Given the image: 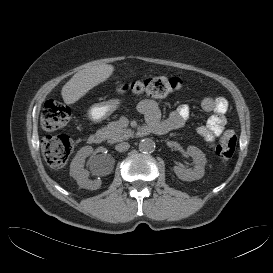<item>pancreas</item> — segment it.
<instances>
[{"label":"pancreas","instance_id":"pancreas-1","mask_svg":"<svg viewBox=\"0 0 273 273\" xmlns=\"http://www.w3.org/2000/svg\"><path fill=\"white\" fill-rule=\"evenodd\" d=\"M102 132L109 143L122 141L132 134L130 129H126L118 121L110 122L106 127L102 128Z\"/></svg>","mask_w":273,"mask_h":273}]
</instances>
